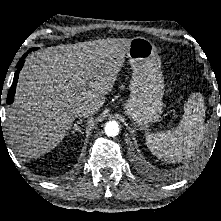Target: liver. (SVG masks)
Wrapping results in <instances>:
<instances>
[{"instance_id": "obj_1", "label": "liver", "mask_w": 221, "mask_h": 221, "mask_svg": "<svg viewBox=\"0 0 221 221\" xmlns=\"http://www.w3.org/2000/svg\"><path fill=\"white\" fill-rule=\"evenodd\" d=\"M131 39L108 38L44 48L19 75L7 130L15 151L38 158L54 149L81 105L98 111L121 70Z\"/></svg>"}]
</instances>
